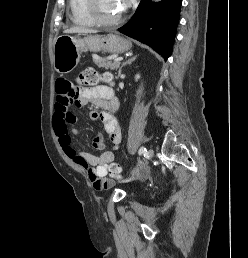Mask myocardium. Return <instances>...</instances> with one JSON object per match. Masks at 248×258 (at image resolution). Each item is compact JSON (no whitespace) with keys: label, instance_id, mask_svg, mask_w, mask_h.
I'll use <instances>...</instances> for the list:
<instances>
[{"label":"myocardium","instance_id":"f54148a6","mask_svg":"<svg viewBox=\"0 0 248 258\" xmlns=\"http://www.w3.org/2000/svg\"><path fill=\"white\" fill-rule=\"evenodd\" d=\"M98 0H86V10L94 24L102 26H113L120 23L123 19L122 14L114 19H106L99 15Z\"/></svg>","mask_w":248,"mask_h":258}]
</instances>
